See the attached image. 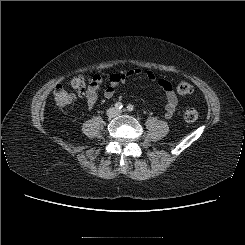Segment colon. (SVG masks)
Instances as JSON below:
<instances>
[{"label": "colon", "instance_id": "colon-1", "mask_svg": "<svg viewBox=\"0 0 245 245\" xmlns=\"http://www.w3.org/2000/svg\"><path fill=\"white\" fill-rule=\"evenodd\" d=\"M68 88L59 86L54 91V101L58 107H65L70 105L76 93H82L86 88V80L83 75L73 76L67 83ZM177 93L181 96L189 95L193 92V87L186 81L179 82L176 87ZM198 112L194 108H189L184 113V118L188 122H195L198 119Z\"/></svg>", "mask_w": 245, "mask_h": 245}]
</instances>
